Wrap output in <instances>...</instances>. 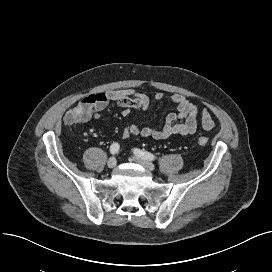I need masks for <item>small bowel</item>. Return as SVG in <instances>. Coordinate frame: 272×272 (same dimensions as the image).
<instances>
[{"label": "small bowel", "mask_w": 272, "mask_h": 272, "mask_svg": "<svg viewBox=\"0 0 272 272\" xmlns=\"http://www.w3.org/2000/svg\"><path fill=\"white\" fill-rule=\"evenodd\" d=\"M164 93L156 92L152 97L135 89L109 90L102 93L84 96L64 117L68 125H76L99 117L109 102H114L121 108L123 116H128L131 109L146 111L152 102L164 99ZM170 101L176 106L177 112L170 113L160 128H140L136 124H130L123 129L124 138L140 136L163 140L171 136L187 137L193 134L200 122L204 130H211L214 121L210 114L199 105L189 101L182 94H172Z\"/></svg>", "instance_id": "1"}]
</instances>
